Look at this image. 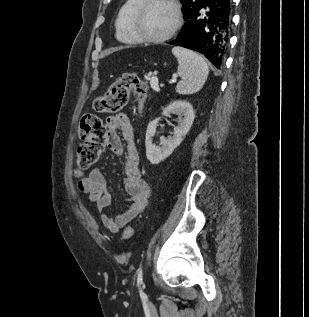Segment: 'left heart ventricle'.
<instances>
[{
  "mask_svg": "<svg viewBox=\"0 0 309 317\" xmlns=\"http://www.w3.org/2000/svg\"><path fill=\"white\" fill-rule=\"evenodd\" d=\"M175 23V13L166 3H154L144 12L139 29L142 33L152 37L166 34Z\"/></svg>",
  "mask_w": 309,
  "mask_h": 317,
  "instance_id": "obj_1",
  "label": "left heart ventricle"
}]
</instances>
